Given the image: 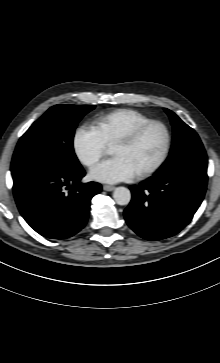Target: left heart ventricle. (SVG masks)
<instances>
[{
	"label": "left heart ventricle",
	"instance_id": "obj_1",
	"mask_svg": "<svg viewBox=\"0 0 220 363\" xmlns=\"http://www.w3.org/2000/svg\"><path fill=\"white\" fill-rule=\"evenodd\" d=\"M165 141V135L157 126L147 129L131 145H113L112 154L124 157L136 173L153 165L159 158Z\"/></svg>",
	"mask_w": 220,
	"mask_h": 363
}]
</instances>
